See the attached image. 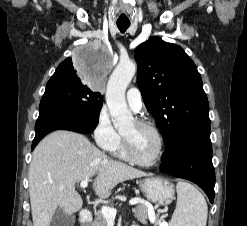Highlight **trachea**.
Wrapping results in <instances>:
<instances>
[{"label":"trachea","mask_w":247,"mask_h":226,"mask_svg":"<svg viewBox=\"0 0 247 226\" xmlns=\"http://www.w3.org/2000/svg\"><path fill=\"white\" fill-rule=\"evenodd\" d=\"M129 25L130 23H117V27L121 33H124L128 29Z\"/></svg>","instance_id":"trachea-1"}]
</instances>
